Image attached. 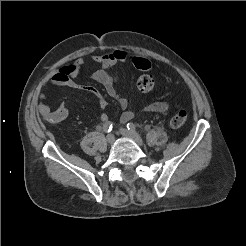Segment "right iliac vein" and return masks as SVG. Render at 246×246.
<instances>
[{"label": "right iliac vein", "instance_id": "63e3f726", "mask_svg": "<svg viewBox=\"0 0 246 246\" xmlns=\"http://www.w3.org/2000/svg\"><path fill=\"white\" fill-rule=\"evenodd\" d=\"M106 139L109 144H112L115 141V137L113 134H108Z\"/></svg>", "mask_w": 246, "mask_h": 246}]
</instances>
